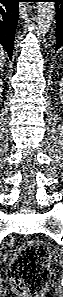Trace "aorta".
<instances>
[{
	"label": "aorta",
	"instance_id": "762f6f07",
	"mask_svg": "<svg viewBox=\"0 0 63 297\" xmlns=\"http://www.w3.org/2000/svg\"><path fill=\"white\" fill-rule=\"evenodd\" d=\"M55 16L54 2L37 3V31L39 35L44 36L51 28Z\"/></svg>",
	"mask_w": 63,
	"mask_h": 297
}]
</instances>
